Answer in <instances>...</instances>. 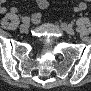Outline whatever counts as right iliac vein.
I'll use <instances>...</instances> for the list:
<instances>
[{
    "mask_svg": "<svg viewBox=\"0 0 91 91\" xmlns=\"http://www.w3.org/2000/svg\"><path fill=\"white\" fill-rule=\"evenodd\" d=\"M20 31L25 33L28 31V23H23L21 26H20Z\"/></svg>",
    "mask_w": 91,
    "mask_h": 91,
    "instance_id": "1",
    "label": "right iliac vein"
}]
</instances>
